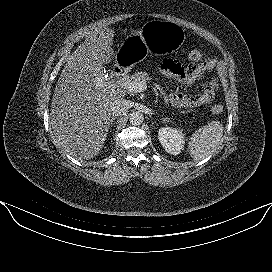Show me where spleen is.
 <instances>
[{"instance_id":"obj_1","label":"spleen","mask_w":272,"mask_h":272,"mask_svg":"<svg viewBox=\"0 0 272 272\" xmlns=\"http://www.w3.org/2000/svg\"><path fill=\"white\" fill-rule=\"evenodd\" d=\"M223 130V125L216 120L209 122L192 134L188 148L190 156L195 162L216 152L223 136Z\"/></svg>"}]
</instances>
